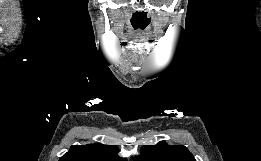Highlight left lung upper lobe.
I'll use <instances>...</instances> for the list:
<instances>
[{"label":"left lung upper lobe","mask_w":261,"mask_h":161,"mask_svg":"<svg viewBox=\"0 0 261 161\" xmlns=\"http://www.w3.org/2000/svg\"><path fill=\"white\" fill-rule=\"evenodd\" d=\"M134 161H196L183 145H168L164 141L156 145L144 146L142 155Z\"/></svg>","instance_id":"obj_1"}]
</instances>
